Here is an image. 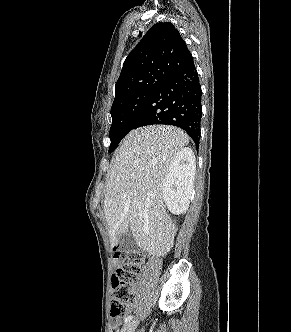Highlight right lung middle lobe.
I'll list each match as a JSON object with an SVG mask.
<instances>
[{
	"mask_svg": "<svg viewBox=\"0 0 291 332\" xmlns=\"http://www.w3.org/2000/svg\"><path fill=\"white\" fill-rule=\"evenodd\" d=\"M161 81H154L146 89L135 91L113 102L111 107L112 125L109 131L112 152L123 137L131 131L134 117L141 110Z\"/></svg>",
	"mask_w": 291,
	"mask_h": 332,
	"instance_id": "obj_1",
	"label": "right lung middle lobe"
}]
</instances>
